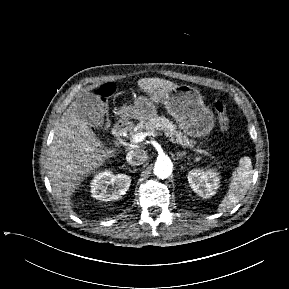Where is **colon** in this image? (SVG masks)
Listing matches in <instances>:
<instances>
[{
	"label": "colon",
	"instance_id": "1",
	"mask_svg": "<svg viewBox=\"0 0 289 289\" xmlns=\"http://www.w3.org/2000/svg\"><path fill=\"white\" fill-rule=\"evenodd\" d=\"M114 92L115 85L113 83H105L101 85L96 91V96L101 103L102 110L105 113L108 111V100ZM214 109L218 116L221 130L227 132L230 128V124L226 104L223 101L218 100L214 104Z\"/></svg>",
	"mask_w": 289,
	"mask_h": 289
}]
</instances>
